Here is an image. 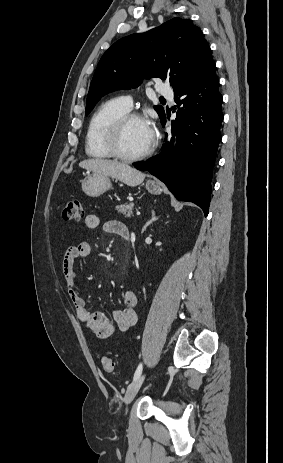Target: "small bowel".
Here are the masks:
<instances>
[{"label":"small bowel","instance_id":"c3829d8e","mask_svg":"<svg viewBox=\"0 0 283 463\" xmlns=\"http://www.w3.org/2000/svg\"><path fill=\"white\" fill-rule=\"evenodd\" d=\"M99 226V218L96 215H88L85 219V227L88 230H95ZM104 231L127 239L129 230L120 221L112 220L104 224ZM92 247L84 242L79 245L67 248L62 262V270L66 290L74 306L75 313L80 322L99 339H106L112 336L115 331L127 332L137 321L135 306L137 304L136 293L132 290L124 292L123 308L112 312L111 318H107L102 313L91 312L76 289L77 272L75 261L77 259H87L91 256Z\"/></svg>","mask_w":283,"mask_h":463}]
</instances>
